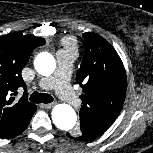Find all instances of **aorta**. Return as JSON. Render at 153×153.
Segmentation results:
<instances>
[{
  "instance_id": "aorta-1",
  "label": "aorta",
  "mask_w": 153,
  "mask_h": 153,
  "mask_svg": "<svg viewBox=\"0 0 153 153\" xmlns=\"http://www.w3.org/2000/svg\"><path fill=\"white\" fill-rule=\"evenodd\" d=\"M34 66L40 75L49 76L54 72L56 62L50 53L42 52L35 58ZM52 120L57 128L68 131L75 126L77 117L71 106L58 104L52 110Z\"/></svg>"
}]
</instances>
